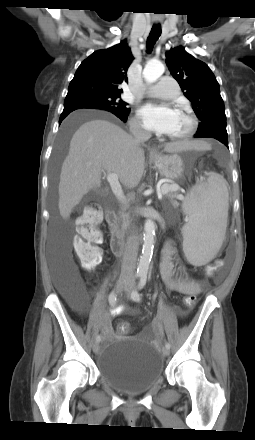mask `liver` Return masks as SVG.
<instances>
[{"label": "liver", "mask_w": 255, "mask_h": 440, "mask_svg": "<svg viewBox=\"0 0 255 440\" xmlns=\"http://www.w3.org/2000/svg\"><path fill=\"white\" fill-rule=\"evenodd\" d=\"M206 148L201 141H176L167 143L164 151L177 153ZM144 164L140 142L121 127L104 119L83 123L71 138L61 168L58 187L61 217L68 219L83 196L101 185L102 172L115 173L120 182L131 189L139 184Z\"/></svg>", "instance_id": "6515ba94"}]
</instances>
